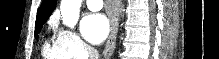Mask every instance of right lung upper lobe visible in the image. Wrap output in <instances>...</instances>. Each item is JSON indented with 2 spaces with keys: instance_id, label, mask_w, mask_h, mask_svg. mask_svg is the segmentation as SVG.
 <instances>
[{
  "instance_id": "1",
  "label": "right lung upper lobe",
  "mask_w": 219,
  "mask_h": 59,
  "mask_svg": "<svg viewBox=\"0 0 219 59\" xmlns=\"http://www.w3.org/2000/svg\"><path fill=\"white\" fill-rule=\"evenodd\" d=\"M57 0H43L42 4L38 10L37 18H36V26H42L51 13L53 12L55 6H56Z\"/></svg>"
}]
</instances>
